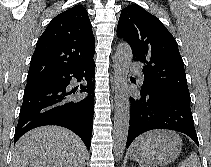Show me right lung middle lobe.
<instances>
[{
  "mask_svg": "<svg viewBox=\"0 0 211 167\" xmlns=\"http://www.w3.org/2000/svg\"><path fill=\"white\" fill-rule=\"evenodd\" d=\"M46 85H48V83L45 80L40 78V79L27 81L25 89L34 88V87H40V86H46Z\"/></svg>",
  "mask_w": 211,
  "mask_h": 167,
  "instance_id": "right-lung-middle-lobe-1",
  "label": "right lung middle lobe"
}]
</instances>
